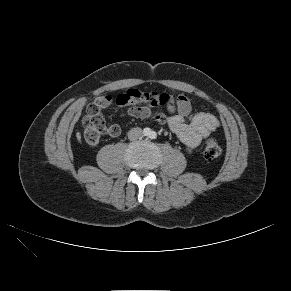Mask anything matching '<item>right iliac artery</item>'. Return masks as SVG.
Listing matches in <instances>:
<instances>
[{
  "label": "right iliac artery",
  "mask_w": 291,
  "mask_h": 291,
  "mask_svg": "<svg viewBox=\"0 0 291 291\" xmlns=\"http://www.w3.org/2000/svg\"><path fill=\"white\" fill-rule=\"evenodd\" d=\"M143 133H144V135H149L151 133V131L149 128H145Z\"/></svg>",
  "instance_id": "1"
}]
</instances>
